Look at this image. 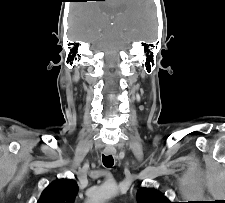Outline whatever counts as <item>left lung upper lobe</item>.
Here are the masks:
<instances>
[{"mask_svg": "<svg viewBox=\"0 0 225 203\" xmlns=\"http://www.w3.org/2000/svg\"><path fill=\"white\" fill-rule=\"evenodd\" d=\"M138 203H172L155 189L141 188L137 193Z\"/></svg>", "mask_w": 225, "mask_h": 203, "instance_id": "1", "label": "left lung upper lobe"}]
</instances>
